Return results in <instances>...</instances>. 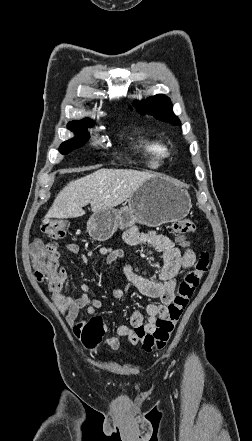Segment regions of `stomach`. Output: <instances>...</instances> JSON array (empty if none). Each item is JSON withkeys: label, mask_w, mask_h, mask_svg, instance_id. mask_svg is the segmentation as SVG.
<instances>
[{"label": "stomach", "mask_w": 252, "mask_h": 441, "mask_svg": "<svg viewBox=\"0 0 252 441\" xmlns=\"http://www.w3.org/2000/svg\"><path fill=\"white\" fill-rule=\"evenodd\" d=\"M190 196L176 181L154 175L128 198L120 209H104L94 213L87 222V231L94 240H108L118 228L135 222L156 227L176 222L187 216Z\"/></svg>", "instance_id": "1"}]
</instances>
